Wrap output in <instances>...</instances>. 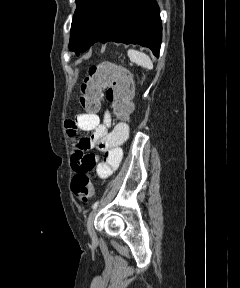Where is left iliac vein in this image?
I'll list each match as a JSON object with an SVG mask.
<instances>
[{"label": "left iliac vein", "mask_w": 240, "mask_h": 288, "mask_svg": "<svg viewBox=\"0 0 240 288\" xmlns=\"http://www.w3.org/2000/svg\"><path fill=\"white\" fill-rule=\"evenodd\" d=\"M98 212V209H94L89 217H88V220H87V230H88V233L90 235V237L95 240L96 239V232H95V229H94V219L96 217V214Z\"/></svg>", "instance_id": "4c4485c4"}]
</instances>
